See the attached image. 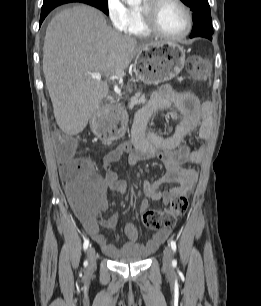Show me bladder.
<instances>
[{
  "label": "bladder",
  "instance_id": "31cf9c89",
  "mask_svg": "<svg viewBox=\"0 0 261 306\" xmlns=\"http://www.w3.org/2000/svg\"><path fill=\"white\" fill-rule=\"evenodd\" d=\"M147 258L146 254H132V255H122L119 257L113 258V261L115 263H120V264H131V263H139L145 261Z\"/></svg>",
  "mask_w": 261,
  "mask_h": 306
}]
</instances>
